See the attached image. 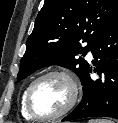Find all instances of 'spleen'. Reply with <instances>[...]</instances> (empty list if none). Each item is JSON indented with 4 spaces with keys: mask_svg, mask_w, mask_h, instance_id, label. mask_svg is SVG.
<instances>
[{
    "mask_svg": "<svg viewBox=\"0 0 118 123\" xmlns=\"http://www.w3.org/2000/svg\"><path fill=\"white\" fill-rule=\"evenodd\" d=\"M88 123H114L112 120L108 119H91Z\"/></svg>",
    "mask_w": 118,
    "mask_h": 123,
    "instance_id": "obj_1",
    "label": "spleen"
}]
</instances>
